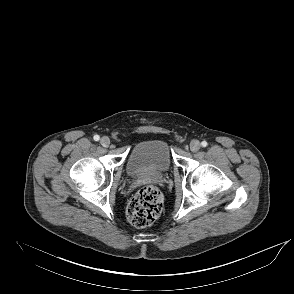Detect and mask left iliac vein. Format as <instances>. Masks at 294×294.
Wrapping results in <instances>:
<instances>
[{
	"mask_svg": "<svg viewBox=\"0 0 294 294\" xmlns=\"http://www.w3.org/2000/svg\"><path fill=\"white\" fill-rule=\"evenodd\" d=\"M190 149L192 152H197L200 149V143L197 140H193L190 143Z\"/></svg>",
	"mask_w": 294,
	"mask_h": 294,
	"instance_id": "1",
	"label": "left iliac vein"
}]
</instances>
